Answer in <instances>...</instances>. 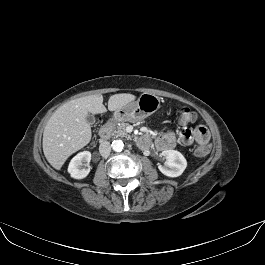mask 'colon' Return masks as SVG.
Wrapping results in <instances>:
<instances>
[{
	"mask_svg": "<svg viewBox=\"0 0 265 265\" xmlns=\"http://www.w3.org/2000/svg\"><path fill=\"white\" fill-rule=\"evenodd\" d=\"M179 119L183 123H192L196 119V114L188 107H180L177 111ZM209 147L207 145L199 146L196 149L197 156H204L208 153Z\"/></svg>",
	"mask_w": 265,
	"mask_h": 265,
	"instance_id": "1",
	"label": "colon"
}]
</instances>
